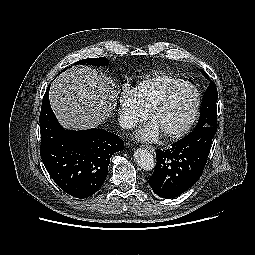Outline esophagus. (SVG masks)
<instances>
[{"label": "esophagus", "mask_w": 255, "mask_h": 255, "mask_svg": "<svg viewBox=\"0 0 255 255\" xmlns=\"http://www.w3.org/2000/svg\"><path fill=\"white\" fill-rule=\"evenodd\" d=\"M144 148H146L147 150H149V151L152 152V153L155 152V147H153V146L144 145Z\"/></svg>", "instance_id": "1"}]
</instances>
